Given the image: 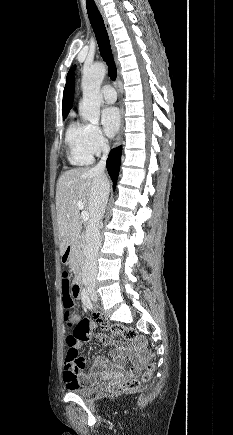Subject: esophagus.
<instances>
[{
  "instance_id": "esophagus-1",
  "label": "esophagus",
  "mask_w": 233,
  "mask_h": 435,
  "mask_svg": "<svg viewBox=\"0 0 233 435\" xmlns=\"http://www.w3.org/2000/svg\"><path fill=\"white\" fill-rule=\"evenodd\" d=\"M95 2H96V5H97L101 15H102L103 20H104V24H105V27H106V30H107V33H108V36H109V39H110L111 49H112V52H113V55H114V58H115V61H116V65L119 66V63H118V60H117V51H116V47H115V44H114V40H113V36H112V33H111L109 22L107 20L106 15H105L103 6L100 3V0H95ZM118 74H119V72H118ZM120 119H121V124H120V129H119L118 135L116 137L115 146H119L120 145V143H121V141L123 139V133H124V107H123V103L122 102H120Z\"/></svg>"
}]
</instances>
